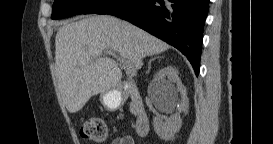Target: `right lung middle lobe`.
<instances>
[{
    "instance_id": "dd1d6c3e",
    "label": "right lung middle lobe",
    "mask_w": 273,
    "mask_h": 144,
    "mask_svg": "<svg viewBox=\"0 0 273 144\" xmlns=\"http://www.w3.org/2000/svg\"><path fill=\"white\" fill-rule=\"evenodd\" d=\"M110 0H55L52 19H60L76 14H92Z\"/></svg>"
}]
</instances>
